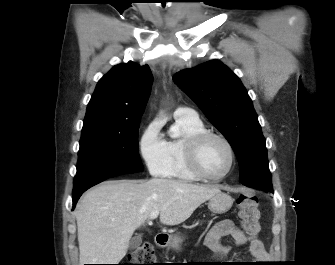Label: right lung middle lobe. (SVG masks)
Returning a JSON list of instances; mask_svg holds the SVG:
<instances>
[{
  "instance_id": "1",
  "label": "right lung middle lobe",
  "mask_w": 335,
  "mask_h": 265,
  "mask_svg": "<svg viewBox=\"0 0 335 265\" xmlns=\"http://www.w3.org/2000/svg\"><path fill=\"white\" fill-rule=\"evenodd\" d=\"M139 123L119 131L81 134L73 191L99 180L143 170L138 151Z\"/></svg>"
}]
</instances>
